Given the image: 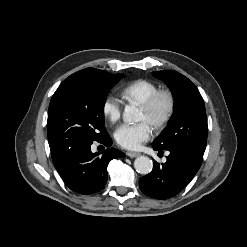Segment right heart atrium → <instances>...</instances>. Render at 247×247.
<instances>
[{"mask_svg":"<svg viewBox=\"0 0 247 247\" xmlns=\"http://www.w3.org/2000/svg\"><path fill=\"white\" fill-rule=\"evenodd\" d=\"M101 111L108 121L115 123L121 117V103L116 97L108 95L102 102Z\"/></svg>","mask_w":247,"mask_h":247,"instance_id":"right-heart-atrium-1","label":"right heart atrium"}]
</instances>
